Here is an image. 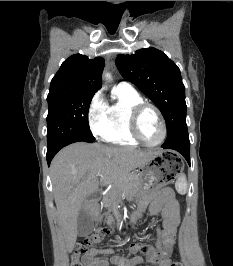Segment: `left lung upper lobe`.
Wrapping results in <instances>:
<instances>
[{"instance_id":"obj_1","label":"left lung upper lobe","mask_w":233,"mask_h":266,"mask_svg":"<svg viewBox=\"0 0 233 266\" xmlns=\"http://www.w3.org/2000/svg\"><path fill=\"white\" fill-rule=\"evenodd\" d=\"M116 66L125 80L135 84L161 111L168 135L186 123L185 87L179 68L153 47L133 55H118Z\"/></svg>"}]
</instances>
